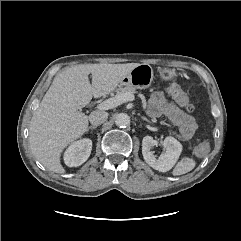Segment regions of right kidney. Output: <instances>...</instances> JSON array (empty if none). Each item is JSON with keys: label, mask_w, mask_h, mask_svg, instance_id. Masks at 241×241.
I'll use <instances>...</instances> for the list:
<instances>
[{"label": "right kidney", "mask_w": 241, "mask_h": 241, "mask_svg": "<svg viewBox=\"0 0 241 241\" xmlns=\"http://www.w3.org/2000/svg\"><path fill=\"white\" fill-rule=\"evenodd\" d=\"M92 141L88 138L73 142L64 153V162L69 167L82 165L90 156Z\"/></svg>", "instance_id": "obj_1"}]
</instances>
